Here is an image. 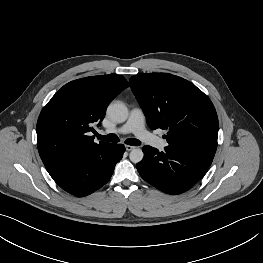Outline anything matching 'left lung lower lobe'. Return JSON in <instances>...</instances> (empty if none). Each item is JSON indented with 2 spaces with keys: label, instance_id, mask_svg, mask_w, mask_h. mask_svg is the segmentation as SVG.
I'll return each instance as SVG.
<instances>
[{
  "label": "left lung lower lobe",
  "instance_id": "0a47b994",
  "mask_svg": "<svg viewBox=\"0 0 263 263\" xmlns=\"http://www.w3.org/2000/svg\"><path fill=\"white\" fill-rule=\"evenodd\" d=\"M143 160L137 164L141 177L168 194H181L191 188L207 171L211 158L166 146L164 151L144 146Z\"/></svg>",
  "mask_w": 263,
  "mask_h": 263
}]
</instances>
